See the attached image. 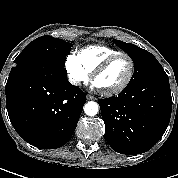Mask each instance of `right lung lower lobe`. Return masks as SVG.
<instances>
[{
    "mask_svg": "<svg viewBox=\"0 0 178 178\" xmlns=\"http://www.w3.org/2000/svg\"><path fill=\"white\" fill-rule=\"evenodd\" d=\"M86 94L69 83L54 66L18 68L6 83V107L11 124L29 144L56 149L71 138Z\"/></svg>",
    "mask_w": 178,
    "mask_h": 178,
    "instance_id": "obj_1",
    "label": "right lung lower lobe"
}]
</instances>
